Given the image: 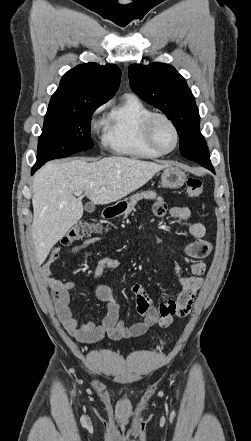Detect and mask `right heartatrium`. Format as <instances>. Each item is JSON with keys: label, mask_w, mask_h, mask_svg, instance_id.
I'll return each mask as SVG.
<instances>
[{"label": "right heart atrium", "mask_w": 251, "mask_h": 441, "mask_svg": "<svg viewBox=\"0 0 251 441\" xmlns=\"http://www.w3.org/2000/svg\"><path fill=\"white\" fill-rule=\"evenodd\" d=\"M101 110H102V108L97 109L96 112H95V115L99 114ZM92 124H93V126L95 127V126L98 125V121L93 120V123H92Z\"/></svg>", "instance_id": "d8ad5b80"}]
</instances>
